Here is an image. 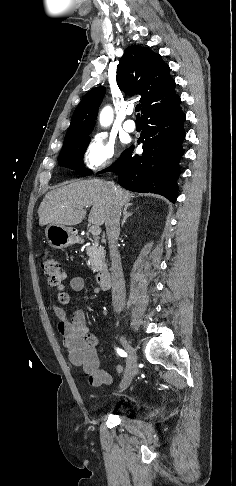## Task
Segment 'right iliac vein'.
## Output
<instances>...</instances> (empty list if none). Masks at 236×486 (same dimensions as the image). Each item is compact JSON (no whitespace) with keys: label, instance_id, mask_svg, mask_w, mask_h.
<instances>
[{"label":"right iliac vein","instance_id":"63e3f726","mask_svg":"<svg viewBox=\"0 0 236 486\" xmlns=\"http://www.w3.org/2000/svg\"><path fill=\"white\" fill-rule=\"evenodd\" d=\"M121 341H122V344L125 347L126 351L129 354V357L127 359V366H126L125 375H124V378H123V380L120 384L121 388H126L131 383V381L134 378V376L136 375L138 369H137V364H136V354H135L133 347L130 345V343L128 342V340L124 336L121 337Z\"/></svg>","mask_w":236,"mask_h":486}]
</instances>
